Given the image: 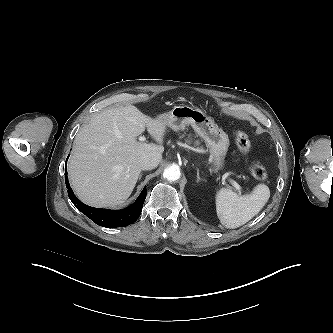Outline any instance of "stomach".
<instances>
[{
  "instance_id": "1",
  "label": "stomach",
  "mask_w": 333,
  "mask_h": 333,
  "mask_svg": "<svg viewBox=\"0 0 333 333\" xmlns=\"http://www.w3.org/2000/svg\"><path fill=\"white\" fill-rule=\"evenodd\" d=\"M157 118L166 121V125L174 131L183 130L187 125H191L209 148L214 170L223 167L230 144L228 135L203 111L187 105H178Z\"/></svg>"
}]
</instances>
